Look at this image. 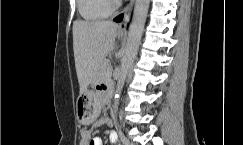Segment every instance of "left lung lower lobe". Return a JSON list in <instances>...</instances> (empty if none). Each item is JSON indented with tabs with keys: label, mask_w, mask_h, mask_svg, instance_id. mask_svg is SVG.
Listing matches in <instances>:
<instances>
[{
	"label": "left lung lower lobe",
	"mask_w": 243,
	"mask_h": 145,
	"mask_svg": "<svg viewBox=\"0 0 243 145\" xmlns=\"http://www.w3.org/2000/svg\"><path fill=\"white\" fill-rule=\"evenodd\" d=\"M122 17H123V15L121 14V15L117 16V17L114 19V21H116V22H120V21L122 20Z\"/></svg>",
	"instance_id": "left-lung-lower-lobe-1"
}]
</instances>
